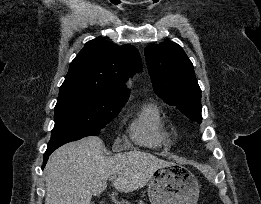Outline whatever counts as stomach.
I'll list each match as a JSON object with an SVG mask.
<instances>
[{
    "instance_id": "stomach-1",
    "label": "stomach",
    "mask_w": 261,
    "mask_h": 204,
    "mask_svg": "<svg viewBox=\"0 0 261 204\" xmlns=\"http://www.w3.org/2000/svg\"><path fill=\"white\" fill-rule=\"evenodd\" d=\"M199 192L193 173L174 162L156 169L148 184L151 204H196Z\"/></svg>"
}]
</instances>
